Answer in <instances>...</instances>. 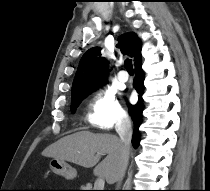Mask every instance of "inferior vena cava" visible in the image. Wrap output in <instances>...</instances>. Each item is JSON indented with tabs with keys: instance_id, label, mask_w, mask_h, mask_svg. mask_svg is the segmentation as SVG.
I'll list each match as a JSON object with an SVG mask.
<instances>
[{
	"instance_id": "inferior-vena-cava-1",
	"label": "inferior vena cava",
	"mask_w": 210,
	"mask_h": 191,
	"mask_svg": "<svg viewBox=\"0 0 210 191\" xmlns=\"http://www.w3.org/2000/svg\"><path fill=\"white\" fill-rule=\"evenodd\" d=\"M115 128L121 140V155H120L119 170L116 180L117 187H120L121 181L125 175L128 166L129 154H130L132 127L129 116L127 114L122 115L118 119Z\"/></svg>"
}]
</instances>
